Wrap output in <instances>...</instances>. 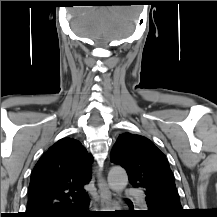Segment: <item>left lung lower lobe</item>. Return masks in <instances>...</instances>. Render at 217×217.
<instances>
[{
    "mask_svg": "<svg viewBox=\"0 0 217 217\" xmlns=\"http://www.w3.org/2000/svg\"><path fill=\"white\" fill-rule=\"evenodd\" d=\"M146 214L147 216H150V217H172V216H168L165 214L154 212L152 210L147 211Z\"/></svg>",
    "mask_w": 217,
    "mask_h": 217,
    "instance_id": "0a47b994",
    "label": "left lung lower lobe"
}]
</instances>
